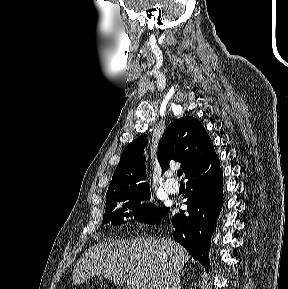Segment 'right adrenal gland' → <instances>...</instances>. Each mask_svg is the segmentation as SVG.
Returning <instances> with one entry per match:
<instances>
[{
	"label": "right adrenal gland",
	"mask_w": 288,
	"mask_h": 289,
	"mask_svg": "<svg viewBox=\"0 0 288 289\" xmlns=\"http://www.w3.org/2000/svg\"><path fill=\"white\" fill-rule=\"evenodd\" d=\"M178 289H181V286L179 285Z\"/></svg>",
	"instance_id": "2a0ac1e0"
}]
</instances>
